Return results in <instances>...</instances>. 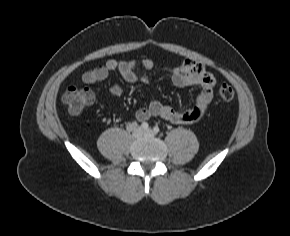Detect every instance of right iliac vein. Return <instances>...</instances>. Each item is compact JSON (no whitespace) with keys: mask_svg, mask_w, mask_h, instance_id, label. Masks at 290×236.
Segmentation results:
<instances>
[{"mask_svg":"<svg viewBox=\"0 0 290 236\" xmlns=\"http://www.w3.org/2000/svg\"><path fill=\"white\" fill-rule=\"evenodd\" d=\"M144 134L142 128H136L134 131H133V137L134 138H140L142 137Z\"/></svg>","mask_w":290,"mask_h":236,"instance_id":"right-iliac-vein-1","label":"right iliac vein"}]
</instances>
